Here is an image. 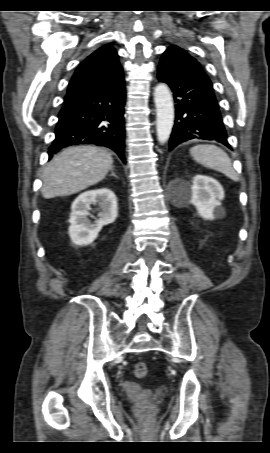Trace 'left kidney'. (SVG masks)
<instances>
[{
	"mask_svg": "<svg viewBox=\"0 0 270 453\" xmlns=\"http://www.w3.org/2000/svg\"><path fill=\"white\" fill-rule=\"evenodd\" d=\"M185 203L195 206L198 214L206 220H214L225 215L221 201L225 194L221 184L212 177L196 175L191 187H179Z\"/></svg>",
	"mask_w": 270,
	"mask_h": 453,
	"instance_id": "5707ae66",
	"label": "left kidney"
}]
</instances>
